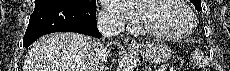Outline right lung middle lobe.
Returning a JSON list of instances; mask_svg holds the SVG:
<instances>
[{
    "mask_svg": "<svg viewBox=\"0 0 230 71\" xmlns=\"http://www.w3.org/2000/svg\"><path fill=\"white\" fill-rule=\"evenodd\" d=\"M42 2H70L77 3L85 7H96L95 0H35V4Z\"/></svg>",
    "mask_w": 230,
    "mask_h": 71,
    "instance_id": "right-lung-middle-lobe-1",
    "label": "right lung middle lobe"
}]
</instances>
